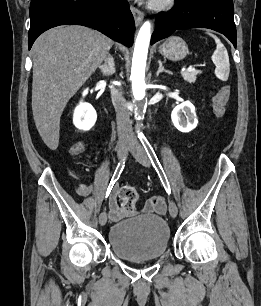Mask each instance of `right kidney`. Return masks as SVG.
<instances>
[{
  "mask_svg": "<svg viewBox=\"0 0 261 306\" xmlns=\"http://www.w3.org/2000/svg\"><path fill=\"white\" fill-rule=\"evenodd\" d=\"M88 93V89L83 92V96ZM97 120V113L89 103L80 102L74 110L73 123L80 130H90Z\"/></svg>",
  "mask_w": 261,
  "mask_h": 306,
  "instance_id": "1",
  "label": "right kidney"
}]
</instances>
